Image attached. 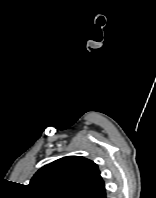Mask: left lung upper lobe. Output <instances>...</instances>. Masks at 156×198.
<instances>
[{"mask_svg": "<svg viewBox=\"0 0 156 198\" xmlns=\"http://www.w3.org/2000/svg\"><path fill=\"white\" fill-rule=\"evenodd\" d=\"M28 186L36 198H98L105 192L98 166L80 156L63 157L42 167Z\"/></svg>", "mask_w": 156, "mask_h": 198, "instance_id": "1", "label": "left lung upper lobe"}]
</instances>
